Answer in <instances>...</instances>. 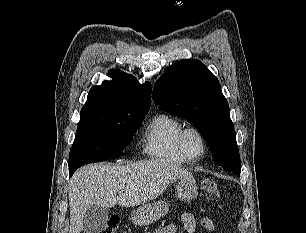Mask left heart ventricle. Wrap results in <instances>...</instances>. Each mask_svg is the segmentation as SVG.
Wrapping results in <instances>:
<instances>
[{
  "label": "left heart ventricle",
  "instance_id": "b2bd125f",
  "mask_svg": "<svg viewBox=\"0 0 306 233\" xmlns=\"http://www.w3.org/2000/svg\"><path fill=\"white\" fill-rule=\"evenodd\" d=\"M185 148L190 157L199 156L202 152L200 139L193 133L189 134L185 139Z\"/></svg>",
  "mask_w": 306,
  "mask_h": 233
}]
</instances>
